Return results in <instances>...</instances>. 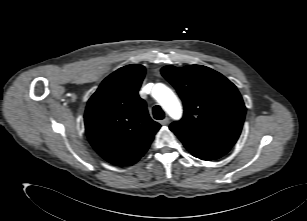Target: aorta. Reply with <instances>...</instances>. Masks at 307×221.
I'll list each match as a JSON object with an SVG mask.
<instances>
[{
	"label": "aorta",
	"instance_id": "1",
	"mask_svg": "<svg viewBox=\"0 0 307 221\" xmlns=\"http://www.w3.org/2000/svg\"><path fill=\"white\" fill-rule=\"evenodd\" d=\"M153 97L172 118L179 119L181 117V104L170 88L163 84H156L153 88Z\"/></svg>",
	"mask_w": 307,
	"mask_h": 221
}]
</instances>
